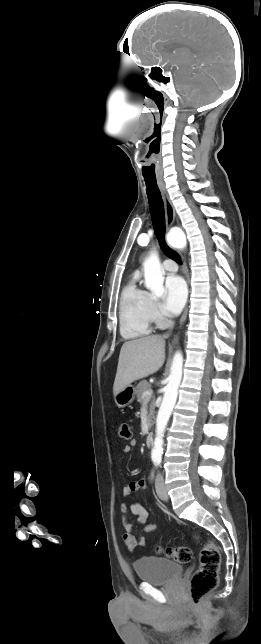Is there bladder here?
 <instances>
[{"mask_svg": "<svg viewBox=\"0 0 261 644\" xmlns=\"http://www.w3.org/2000/svg\"><path fill=\"white\" fill-rule=\"evenodd\" d=\"M134 569L142 582L152 585L171 583L183 572L181 564L157 556H143L137 559Z\"/></svg>", "mask_w": 261, "mask_h": 644, "instance_id": "bladder-1", "label": "bladder"}]
</instances>
